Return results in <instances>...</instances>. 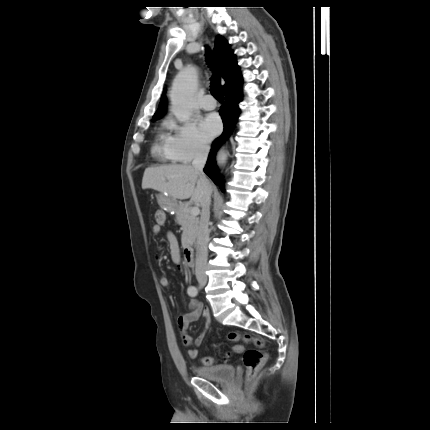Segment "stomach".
I'll return each instance as SVG.
<instances>
[{"label": "stomach", "instance_id": "stomach-1", "mask_svg": "<svg viewBox=\"0 0 430 430\" xmlns=\"http://www.w3.org/2000/svg\"><path fill=\"white\" fill-rule=\"evenodd\" d=\"M157 200L161 208L165 210L172 211L178 208L177 202L171 196H166L165 194L161 193L157 195Z\"/></svg>", "mask_w": 430, "mask_h": 430}]
</instances>
